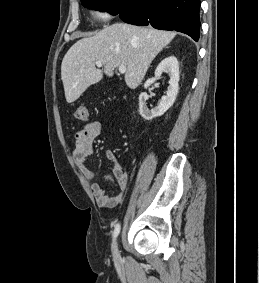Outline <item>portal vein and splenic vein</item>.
Returning <instances> with one entry per match:
<instances>
[{"instance_id":"portal-vein-and-splenic-vein-1","label":"portal vein and splenic vein","mask_w":259,"mask_h":283,"mask_svg":"<svg viewBox=\"0 0 259 283\" xmlns=\"http://www.w3.org/2000/svg\"><path fill=\"white\" fill-rule=\"evenodd\" d=\"M95 65L97 67H102V62L101 61H96ZM119 72L121 74H124L126 72V66H124V65L119 66Z\"/></svg>"}]
</instances>
